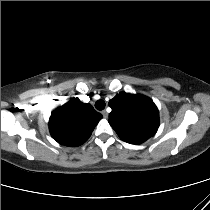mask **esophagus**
Here are the masks:
<instances>
[{"instance_id": "1", "label": "esophagus", "mask_w": 210, "mask_h": 210, "mask_svg": "<svg viewBox=\"0 0 210 210\" xmlns=\"http://www.w3.org/2000/svg\"><path fill=\"white\" fill-rule=\"evenodd\" d=\"M101 113H102V115H103L104 118H107L108 117V113H107L106 110H103Z\"/></svg>"}]
</instances>
